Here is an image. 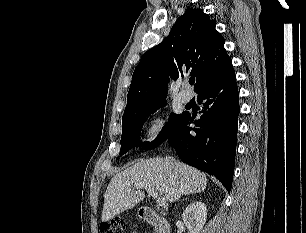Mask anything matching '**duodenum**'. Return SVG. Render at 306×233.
<instances>
[{"instance_id": "1", "label": "duodenum", "mask_w": 306, "mask_h": 233, "mask_svg": "<svg viewBox=\"0 0 306 233\" xmlns=\"http://www.w3.org/2000/svg\"><path fill=\"white\" fill-rule=\"evenodd\" d=\"M140 215L147 224L155 227L156 233H171L169 222L152 208L143 207Z\"/></svg>"}]
</instances>
